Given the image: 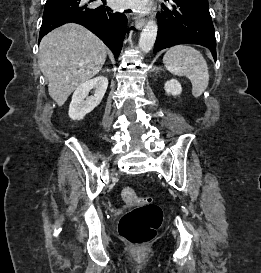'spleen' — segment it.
I'll return each mask as SVG.
<instances>
[{
  "mask_svg": "<svg viewBox=\"0 0 261 273\" xmlns=\"http://www.w3.org/2000/svg\"><path fill=\"white\" fill-rule=\"evenodd\" d=\"M166 69L177 76H186L192 84V95L199 98L209 84V70L202 53L189 45H176L163 57Z\"/></svg>",
  "mask_w": 261,
  "mask_h": 273,
  "instance_id": "1",
  "label": "spleen"
}]
</instances>
